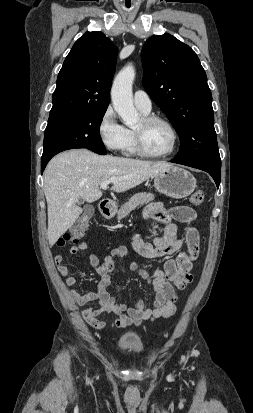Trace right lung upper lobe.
I'll return each mask as SVG.
<instances>
[{
  "label": "right lung upper lobe",
  "instance_id": "1",
  "mask_svg": "<svg viewBox=\"0 0 253 413\" xmlns=\"http://www.w3.org/2000/svg\"><path fill=\"white\" fill-rule=\"evenodd\" d=\"M117 51L100 31L86 32L80 37L58 74L50 115L107 109Z\"/></svg>",
  "mask_w": 253,
  "mask_h": 413
}]
</instances>
